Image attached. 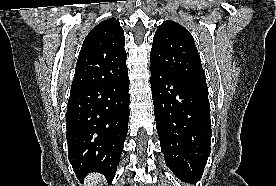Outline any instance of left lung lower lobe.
Segmentation results:
<instances>
[{"mask_svg":"<svg viewBox=\"0 0 276 186\" xmlns=\"http://www.w3.org/2000/svg\"><path fill=\"white\" fill-rule=\"evenodd\" d=\"M156 127L166 165L177 178L198 181L210 155L207 84L150 65Z\"/></svg>","mask_w":276,"mask_h":186,"instance_id":"obj_1","label":"left lung lower lobe"}]
</instances>
